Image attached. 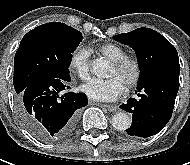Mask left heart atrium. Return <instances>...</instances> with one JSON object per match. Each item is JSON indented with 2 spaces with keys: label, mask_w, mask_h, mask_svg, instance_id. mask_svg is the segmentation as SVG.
<instances>
[{
  "label": "left heart atrium",
  "mask_w": 190,
  "mask_h": 165,
  "mask_svg": "<svg viewBox=\"0 0 190 165\" xmlns=\"http://www.w3.org/2000/svg\"><path fill=\"white\" fill-rule=\"evenodd\" d=\"M81 89L92 99L112 101L124 93L125 86L118 78L110 77L106 80H91L83 85Z\"/></svg>",
  "instance_id": "obj_1"
}]
</instances>
